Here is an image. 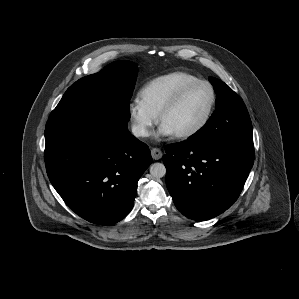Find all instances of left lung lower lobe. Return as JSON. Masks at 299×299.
<instances>
[{"instance_id": "left-lung-lower-lobe-1", "label": "left lung lower lobe", "mask_w": 299, "mask_h": 299, "mask_svg": "<svg viewBox=\"0 0 299 299\" xmlns=\"http://www.w3.org/2000/svg\"><path fill=\"white\" fill-rule=\"evenodd\" d=\"M163 156L166 185L177 209L202 221L227 210L239 197L254 162L253 142L169 144Z\"/></svg>"}]
</instances>
